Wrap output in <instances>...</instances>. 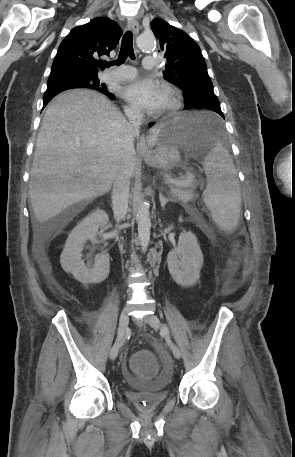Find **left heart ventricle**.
I'll return each mask as SVG.
<instances>
[{"label":"left heart ventricle","mask_w":295,"mask_h":457,"mask_svg":"<svg viewBox=\"0 0 295 457\" xmlns=\"http://www.w3.org/2000/svg\"><path fill=\"white\" fill-rule=\"evenodd\" d=\"M167 102H168V96H167V94L165 93L163 102H162V104H161V106H160L159 109L163 108V107L167 104Z\"/></svg>","instance_id":"1"}]
</instances>
